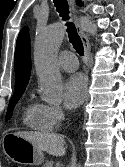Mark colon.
Segmentation results:
<instances>
[{
	"label": "colon",
	"instance_id": "obj_1",
	"mask_svg": "<svg viewBox=\"0 0 125 167\" xmlns=\"http://www.w3.org/2000/svg\"><path fill=\"white\" fill-rule=\"evenodd\" d=\"M13 167H21L20 165H15V166H13Z\"/></svg>",
	"mask_w": 125,
	"mask_h": 167
}]
</instances>
